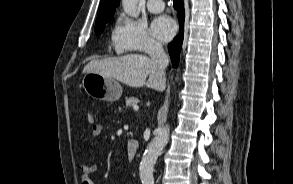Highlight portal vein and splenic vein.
I'll list each match as a JSON object with an SVG mask.
<instances>
[{
	"mask_svg": "<svg viewBox=\"0 0 293 184\" xmlns=\"http://www.w3.org/2000/svg\"><path fill=\"white\" fill-rule=\"evenodd\" d=\"M133 109H134V111H138V110H139V106L135 105V106L133 107Z\"/></svg>",
	"mask_w": 293,
	"mask_h": 184,
	"instance_id": "obj_1",
	"label": "portal vein and splenic vein"
}]
</instances>
